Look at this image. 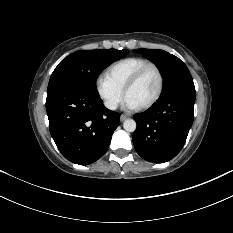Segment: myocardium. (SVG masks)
I'll use <instances>...</instances> for the list:
<instances>
[{
  "mask_svg": "<svg viewBox=\"0 0 233 233\" xmlns=\"http://www.w3.org/2000/svg\"><path fill=\"white\" fill-rule=\"evenodd\" d=\"M149 69H154L158 75V79H159L158 90L151 100H149L147 103H145L144 105L139 107L140 109H148L151 106H153L160 99V97L163 93L164 76H163V73H162V70L160 69V67L157 64L152 63V62H148L147 64L143 65L130 77V79L127 81V83L124 87V90H123L124 95L127 96L128 91L141 79V77Z\"/></svg>",
  "mask_w": 233,
  "mask_h": 233,
  "instance_id": "myocardium-1",
  "label": "myocardium"
}]
</instances>
